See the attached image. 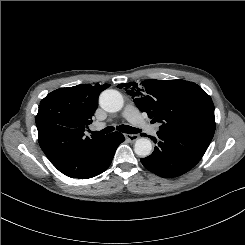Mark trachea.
<instances>
[{
	"label": "trachea",
	"mask_w": 245,
	"mask_h": 245,
	"mask_svg": "<svg viewBox=\"0 0 245 245\" xmlns=\"http://www.w3.org/2000/svg\"><path fill=\"white\" fill-rule=\"evenodd\" d=\"M116 129L120 132L128 133V134H136V133L140 132V130L133 128L131 126H128V125H120V126L116 127ZM112 131H114V127L109 126V127L104 128L101 131H94V132L91 131V133L94 135H104V134H108Z\"/></svg>",
	"instance_id": "trachea-1"
}]
</instances>
